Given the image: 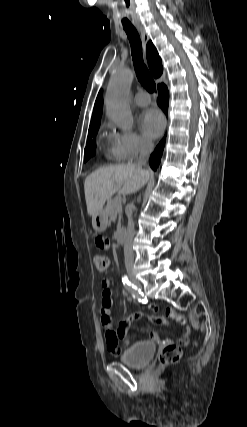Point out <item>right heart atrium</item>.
I'll return each instance as SVG.
<instances>
[{
	"mask_svg": "<svg viewBox=\"0 0 247 427\" xmlns=\"http://www.w3.org/2000/svg\"><path fill=\"white\" fill-rule=\"evenodd\" d=\"M111 153L121 161L131 160L151 148V142L136 132L114 131L110 136Z\"/></svg>",
	"mask_w": 247,
	"mask_h": 427,
	"instance_id": "1",
	"label": "right heart atrium"
}]
</instances>
